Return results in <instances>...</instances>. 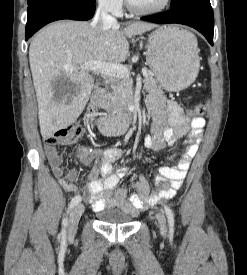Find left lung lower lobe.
<instances>
[{"mask_svg":"<svg viewBox=\"0 0 247 275\" xmlns=\"http://www.w3.org/2000/svg\"><path fill=\"white\" fill-rule=\"evenodd\" d=\"M154 23H178L195 28L213 45L214 17L209 0H200L141 18Z\"/></svg>","mask_w":247,"mask_h":275,"instance_id":"0a47b994","label":"left lung lower lobe"}]
</instances>
